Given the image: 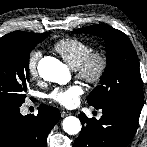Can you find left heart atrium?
I'll return each instance as SVG.
<instances>
[{
  "instance_id": "obj_1",
  "label": "left heart atrium",
  "mask_w": 147,
  "mask_h": 147,
  "mask_svg": "<svg viewBox=\"0 0 147 147\" xmlns=\"http://www.w3.org/2000/svg\"><path fill=\"white\" fill-rule=\"evenodd\" d=\"M84 90L80 84L57 87L48 94V98L64 107L75 106Z\"/></svg>"
}]
</instances>
